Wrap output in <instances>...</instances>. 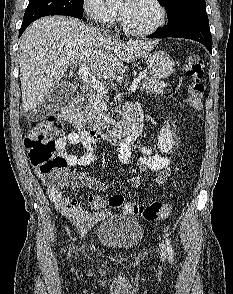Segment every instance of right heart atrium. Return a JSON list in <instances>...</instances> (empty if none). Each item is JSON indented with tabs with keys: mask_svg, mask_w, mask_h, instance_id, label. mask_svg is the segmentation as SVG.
Masks as SVG:
<instances>
[{
	"mask_svg": "<svg viewBox=\"0 0 233 294\" xmlns=\"http://www.w3.org/2000/svg\"><path fill=\"white\" fill-rule=\"evenodd\" d=\"M83 10L88 19L100 26H112L118 21V13L104 0H83Z\"/></svg>",
	"mask_w": 233,
	"mask_h": 294,
	"instance_id": "1",
	"label": "right heart atrium"
}]
</instances>
